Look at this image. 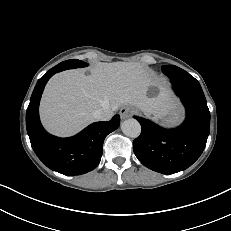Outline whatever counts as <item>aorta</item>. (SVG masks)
Segmentation results:
<instances>
[{"instance_id": "1", "label": "aorta", "mask_w": 231, "mask_h": 231, "mask_svg": "<svg viewBox=\"0 0 231 231\" xmlns=\"http://www.w3.org/2000/svg\"><path fill=\"white\" fill-rule=\"evenodd\" d=\"M121 129L125 135L131 138H136L141 133L140 123L136 119H133V118L127 119L124 122H122Z\"/></svg>"}]
</instances>
